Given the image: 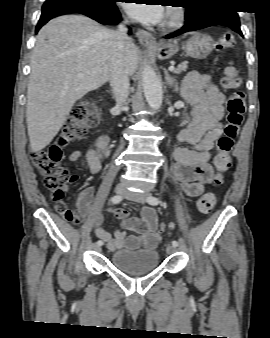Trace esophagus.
Wrapping results in <instances>:
<instances>
[{"instance_id":"obj_1","label":"esophagus","mask_w":270,"mask_h":338,"mask_svg":"<svg viewBox=\"0 0 270 338\" xmlns=\"http://www.w3.org/2000/svg\"><path fill=\"white\" fill-rule=\"evenodd\" d=\"M136 37L145 47H156L158 45L155 37L145 30H137Z\"/></svg>"}]
</instances>
